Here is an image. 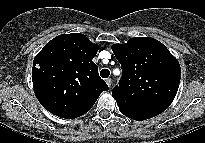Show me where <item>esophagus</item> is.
I'll use <instances>...</instances> for the list:
<instances>
[{
    "label": "esophagus",
    "mask_w": 205,
    "mask_h": 143,
    "mask_svg": "<svg viewBox=\"0 0 205 143\" xmlns=\"http://www.w3.org/2000/svg\"><path fill=\"white\" fill-rule=\"evenodd\" d=\"M105 81H106L107 85H108L109 87H111V84H112L111 78H107Z\"/></svg>",
    "instance_id": "1"
}]
</instances>
